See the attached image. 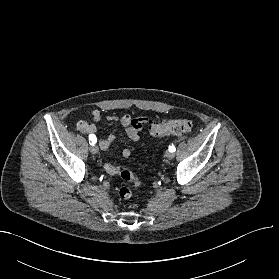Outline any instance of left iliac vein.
<instances>
[{
    "label": "left iliac vein",
    "mask_w": 279,
    "mask_h": 279,
    "mask_svg": "<svg viewBox=\"0 0 279 279\" xmlns=\"http://www.w3.org/2000/svg\"><path fill=\"white\" fill-rule=\"evenodd\" d=\"M165 156L168 158V159H173L175 157V153L174 152H170V151H167Z\"/></svg>",
    "instance_id": "1"
}]
</instances>
